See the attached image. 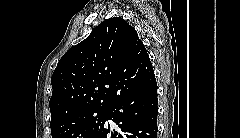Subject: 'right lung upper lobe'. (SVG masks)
Masks as SVG:
<instances>
[{"instance_id": "obj_1", "label": "right lung upper lobe", "mask_w": 240, "mask_h": 138, "mask_svg": "<svg viewBox=\"0 0 240 138\" xmlns=\"http://www.w3.org/2000/svg\"><path fill=\"white\" fill-rule=\"evenodd\" d=\"M154 75L136 30L109 18L60 59L51 77V123L86 109L109 107Z\"/></svg>"}]
</instances>
